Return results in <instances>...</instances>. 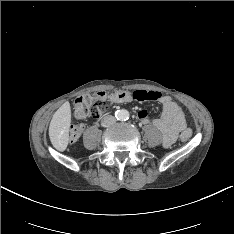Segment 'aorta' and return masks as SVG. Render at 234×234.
<instances>
[{
    "instance_id": "1",
    "label": "aorta",
    "mask_w": 234,
    "mask_h": 234,
    "mask_svg": "<svg viewBox=\"0 0 234 234\" xmlns=\"http://www.w3.org/2000/svg\"><path fill=\"white\" fill-rule=\"evenodd\" d=\"M129 112L126 109H121L119 111H117L116 113V117L117 119L121 120V121H125L129 119Z\"/></svg>"
}]
</instances>
